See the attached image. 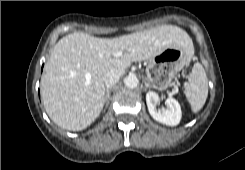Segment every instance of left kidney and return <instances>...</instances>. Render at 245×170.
<instances>
[{
  "instance_id": "obj_1",
  "label": "left kidney",
  "mask_w": 245,
  "mask_h": 170,
  "mask_svg": "<svg viewBox=\"0 0 245 170\" xmlns=\"http://www.w3.org/2000/svg\"><path fill=\"white\" fill-rule=\"evenodd\" d=\"M159 101L160 97L157 93L149 91L146 94L148 111L153 119L168 126L178 125L182 116L181 107L178 101L174 98H167L165 104L168 108L163 111L156 108Z\"/></svg>"
}]
</instances>
